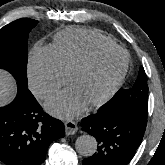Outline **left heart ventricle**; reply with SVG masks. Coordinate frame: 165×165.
I'll use <instances>...</instances> for the list:
<instances>
[{"instance_id": "b2bd125f", "label": "left heart ventricle", "mask_w": 165, "mask_h": 165, "mask_svg": "<svg viewBox=\"0 0 165 165\" xmlns=\"http://www.w3.org/2000/svg\"><path fill=\"white\" fill-rule=\"evenodd\" d=\"M124 65V56L118 51L100 54L75 79L73 87L88 103L99 98L114 81Z\"/></svg>"}]
</instances>
